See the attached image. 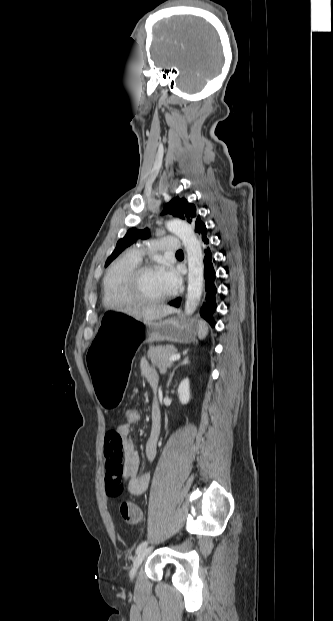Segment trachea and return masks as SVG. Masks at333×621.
Returning <instances> with one entry per match:
<instances>
[{
  "mask_svg": "<svg viewBox=\"0 0 333 621\" xmlns=\"http://www.w3.org/2000/svg\"><path fill=\"white\" fill-rule=\"evenodd\" d=\"M181 253H183L182 250H179V251L176 252V254H181Z\"/></svg>",
  "mask_w": 333,
  "mask_h": 621,
  "instance_id": "3493384b",
  "label": "trachea"
}]
</instances>
